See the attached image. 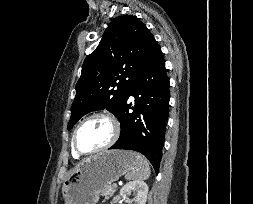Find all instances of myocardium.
I'll list each match as a JSON object with an SVG mask.
<instances>
[{
	"mask_svg": "<svg viewBox=\"0 0 253 204\" xmlns=\"http://www.w3.org/2000/svg\"><path fill=\"white\" fill-rule=\"evenodd\" d=\"M94 118H103V119L107 120L112 126V130H113L112 136H111L110 140L102 147H99L97 149L87 151V152L81 151L77 146V140H76L77 133L83 124H85L86 122H88L89 120L94 119ZM120 132H121L120 124L115 117H113L112 115H110L108 113H103V112L93 113V114L85 117L74 129L73 135H72V141H71L72 149L78 156H88V155H93V154L105 151V150L109 149L110 147H112L117 142V140L120 136Z\"/></svg>",
	"mask_w": 253,
	"mask_h": 204,
	"instance_id": "obj_1",
	"label": "myocardium"
}]
</instances>
